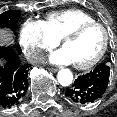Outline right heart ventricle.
I'll use <instances>...</instances> for the list:
<instances>
[{
	"label": "right heart ventricle",
	"instance_id": "obj_1",
	"mask_svg": "<svg viewBox=\"0 0 117 117\" xmlns=\"http://www.w3.org/2000/svg\"><path fill=\"white\" fill-rule=\"evenodd\" d=\"M94 21L90 14L82 10L67 9L49 13L44 23L52 35L59 40L74 28Z\"/></svg>",
	"mask_w": 117,
	"mask_h": 117
}]
</instances>
